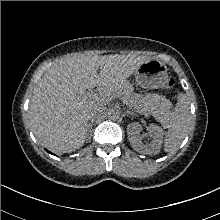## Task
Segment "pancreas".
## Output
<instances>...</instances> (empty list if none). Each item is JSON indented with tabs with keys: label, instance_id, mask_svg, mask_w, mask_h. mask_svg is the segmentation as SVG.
<instances>
[{
	"label": "pancreas",
	"instance_id": "obj_1",
	"mask_svg": "<svg viewBox=\"0 0 220 220\" xmlns=\"http://www.w3.org/2000/svg\"><path fill=\"white\" fill-rule=\"evenodd\" d=\"M124 99L128 100L131 105H136L133 94H132V86L125 82L120 90L117 92ZM116 94H111L110 98L114 97ZM149 105L152 107L153 114L156 118H158L162 123H168L170 119V107L171 103L163 98L155 99L149 102Z\"/></svg>",
	"mask_w": 220,
	"mask_h": 220
}]
</instances>
